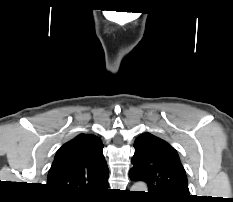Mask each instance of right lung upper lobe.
I'll return each mask as SVG.
<instances>
[{"instance_id":"1","label":"right lung upper lobe","mask_w":233,"mask_h":202,"mask_svg":"<svg viewBox=\"0 0 233 202\" xmlns=\"http://www.w3.org/2000/svg\"><path fill=\"white\" fill-rule=\"evenodd\" d=\"M108 173L102 141L80 134L57 151L47 185L56 194L89 197L108 188Z\"/></svg>"}]
</instances>
